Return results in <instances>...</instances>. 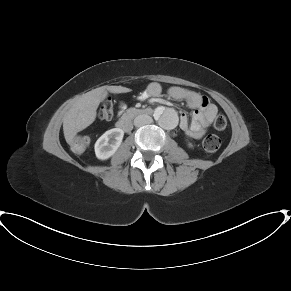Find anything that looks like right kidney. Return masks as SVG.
Segmentation results:
<instances>
[{
    "label": "right kidney",
    "instance_id": "ca27d5eb",
    "mask_svg": "<svg viewBox=\"0 0 291 291\" xmlns=\"http://www.w3.org/2000/svg\"><path fill=\"white\" fill-rule=\"evenodd\" d=\"M124 131L113 128L106 131L95 143V154L100 160L110 158L122 143Z\"/></svg>",
    "mask_w": 291,
    "mask_h": 291
}]
</instances>
